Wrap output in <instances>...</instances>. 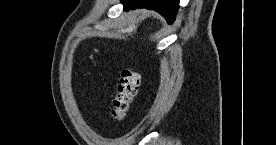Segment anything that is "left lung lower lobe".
<instances>
[{
    "label": "left lung lower lobe",
    "mask_w": 276,
    "mask_h": 145,
    "mask_svg": "<svg viewBox=\"0 0 276 145\" xmlns=\"http://www.w3.org/2000/svg\"><path fill=\"white\" fill-rule=\"evenodd\" d=\"M121 2L125 10L140 7L158 11L168 23H173L179 8V0H121Z\"/></svg>",
    "instance_id": "0a47b994"
}]
</instances>
